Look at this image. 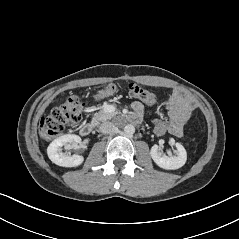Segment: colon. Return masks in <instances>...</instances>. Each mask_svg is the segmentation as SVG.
<instances>
[{"label":"colon","instance_id":"1","mask_svg":"<svg viewBox=\"0 0 239 239\" xmlns=\"http://www.w3.org/2000/svg\"><path fill=\"white\" fill-rule=\"evenodd\" d=\"M115 86H110L109 91H115ZM129 93L153 106L156 102L155 95L142 86L129 83L127 85ZM84 104L75 96L67 98L61 105L54 108L49 115L41 119L40 133L45 139H52L61 134L66 128L78 124L84 113ZM151 125L155 136H164L170 130V117L162 109H154L150 113Z\"/></svg>","mask_w":239,"mask_h":239}]
</instances>
